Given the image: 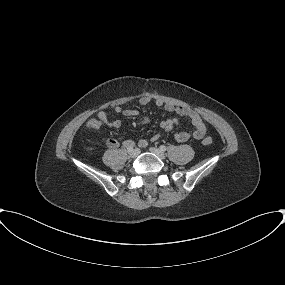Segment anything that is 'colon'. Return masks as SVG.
<instances>
[{
    "label": "colon",
    "instance_id": "colon-1",
    "mask_svg": "<svg viewBox=\"0 0 285 285\" xmlns=\"http://www.w3.org/2000/svg\"><path fill=\"white\" fill-rule=\"evenodd\" d=\"M203 144L206 146H209L212 144V139L210 137H207L203 140Z\"/></svg>",
    "mask_w": 285,
    "mask_h": 285
}]
</instances>
